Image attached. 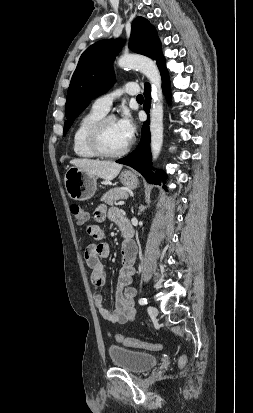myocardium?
I'll use <instances>...</instances> for the list:
<instances>
[{"instance_id":"obj_1","label":"myocardium","mask_w":253,"mask_h":413,"mask_svg":"<svg viewBox=\"0 0 253 413\" xmlns=\"http://www.w3.org/2000/svg\"><path fill=\"white\" fill-rule=\"evenodd\" d=\"M115 120L113 115H104L96 120L88 129L87 143L90 149L98 156L106 158H116L125 155L130 149V143H127L125 147L118 151H108L104 148L102 143V131L107 122Z\"/></svg>"}]
</instances>
